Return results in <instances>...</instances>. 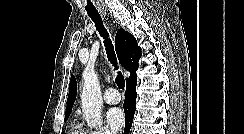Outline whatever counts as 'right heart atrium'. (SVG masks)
Listing matches in <instances>:
<instances>
[{
	"instance_id": "obj_1",
	"label": "right heart atrium",
	"mask_w": 244,
	"mask_h": 134,
	"mask_svg": "<svg viewBox=\"0 0 244 134\" xmlns=\"http://www.w3.org/2000/svg\"><path fill=\"white\" fill-rule=\"evenodd\" d=\"M90 134H112L109 130L106 128H99L96 130L90 131Z\"/></svg>"
}]
</instances>
